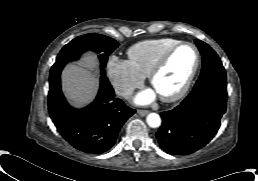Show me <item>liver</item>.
<instances>
[{
  "label": "liver",
  "mask_w": 258,
  "mask_h": 181,
  "mask_svg": "<svg viewBox=\"0 0 258 181\" xmlns=\"http://www.w3.org/2000/svg\"><path fill=\"white\" fill-rule=\"evenodd\" d=\"M96 66V57L88 54L82 65L69 64L62 72V89L73 106L82 107L94 99L98 90Z\"/></svg>",
  "instance_id": "1"
}]
</instances>
